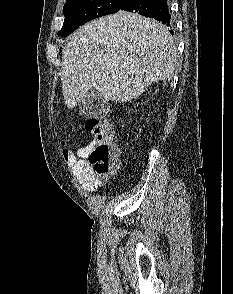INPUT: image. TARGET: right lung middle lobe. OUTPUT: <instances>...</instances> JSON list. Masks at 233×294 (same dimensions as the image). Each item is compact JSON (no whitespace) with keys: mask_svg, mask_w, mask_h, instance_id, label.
Segmentation results:
<instances>
[{"mask_svg":"<svg viewBox=\"0 0 233 294\" xmlns=\"http://www.w3.org/2000/svg\"><path fill=\"white\" fill-rule=\"evenodd\" d=\"M126 0H67L63 13L65 20L60 36H68L84 23L95 18L116 13Z\"/></svg>","mask_w":233,"mask_h":294,"instance_id":"1","label":"right lung middle lobe"}]
</instances>
